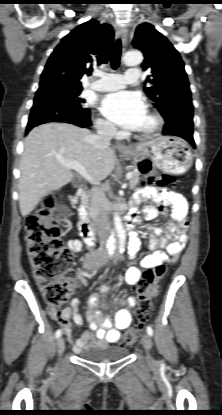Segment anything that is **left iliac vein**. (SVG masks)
I'll return each instance as SVG.
<instances>
[{
    "mask_svg": "<svg viewBox=\"0 0 222 415\" xmlns=\"http://www.w3.org/2000/svg\"><path fill=\"white\" fill-rule=\"evenodd\" d=\"M142 344H143V347H144V349L146 351L147 361L149 363H152L153 362V358H152V356L150 354V350L152 348V341H151V337H150V335L148 333H144L143 334V336H142Z\"/></svg>",
    "mask_w": 222,
    "mask_h": 415,
    "instance_id": "left-iliac-vein-1",
    "label": "left iliac vein"
}]
</instances>
